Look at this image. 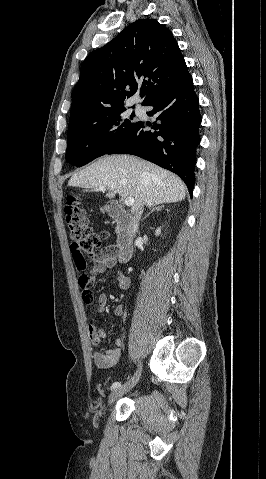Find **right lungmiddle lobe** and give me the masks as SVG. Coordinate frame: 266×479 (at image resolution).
Instances as JSON below:
<instances>
[{
	"label": "right lung middle lobe",
	"instance_id": "dd1d6c3e",
	"mask_svg": "<svg viewBox=\"0 0 266 479\" xmlns=\"http://www.w3.org/2000/svg\"><path fill=\"white\" fill-rule=\"evenodd\" d=\"M125 110L116 108L69 121L67 162L81 167L107 154L137 123L135 114L127 118Z\"/></svg>",
	"mask_w": 266,
	"mask_h": 479
}]
</instances>
